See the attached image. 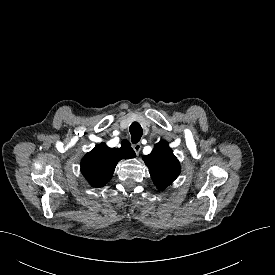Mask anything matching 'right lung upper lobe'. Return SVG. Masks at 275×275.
I'll return each instance as SVG.
<instances>
[{"instance_id":"1","label":"right lung upper lobe","mask_w":275,"mask_h":275,"mask_svg":"<svg viewBox=\"0 0 275 275\" xmlns=\"http://www.w3.org/2000/svg\"><path fill=\"white\" fill-rule=\"evenodd\" d=\"M133 157L135 152L127 140L122 141L120 148L101 143L83 157L81 172L93 187H101L111 179L118 161Z\"/></svg>"}]
</instances>
